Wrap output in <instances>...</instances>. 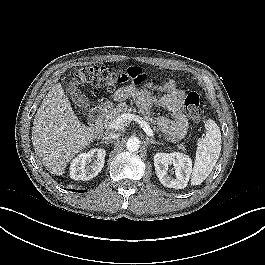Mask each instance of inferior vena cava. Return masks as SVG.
Masks as SVG:
<instances>
[{"instance_id":"1","label":"inferior vena cava","mask_w":265,"mask_h":265,"mask_svg":"<svg viewBox=\"0 0 265 265\" xmlns=\"http://www.w3.org/2000/svg\"><path fill=\"white\" fill-rule=\"evenodd\" d=\"M119 134L118 133H111V132H107L104 135V139L109 142V141H114L116 139H118Z\"/></svg>"}]
</instances>
